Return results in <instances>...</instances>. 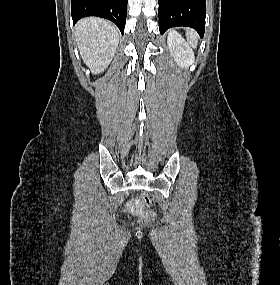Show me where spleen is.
Returning <instances> with one entry per match:
<instances>
[{"mask_svg": "<svg viewBox=\"0 0 280 285\" xmlns=\"http://www.w3.org/2000/svg\"><path fill=\"white\" fill-rule=\"evenodd\" d=\"M186 35H187V39L189 41V43L192 45V46H196L197 45V40H198V36L197 34L195 33V31L191 30V29H188L186 31Z\"/></svg>", "mask_w": 280, "mask_h": 285, "instance_id": "1", "label": "spleen"}]
</instances>
